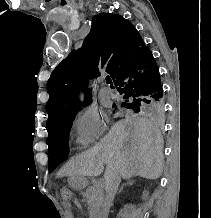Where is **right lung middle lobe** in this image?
I'll list each match as a JSON object with an SVG mask.
<instances>
[{"label":"right lung middle lobe","instance_id":"dd1d6c3e","mask_svg":"<svg viewBox=\"0 0 211 218\" xmlns=\"http://www.w3.org/2000/svg\"><path fill=\"white\" fill-rule=\"evenodd\" d=\"M114 106L115 104H113V107ZM121 107L132 110L135 113H138L141 110L162 112L164 109V100H148L143 98L126 97L121 101ZM78 109L58 120V122L48 132L47 144L49 149V172H52L67 158L69 149V132Z\"/></svg>","mask_w":211,"mask_h":218}]
</instances>
